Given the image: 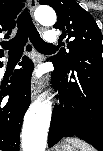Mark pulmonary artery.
<instances>
[{
  "mask_svg": "<svg viewBox=\"0 0 103 151\" xmlns=\"http://www.w3.org/2000/svg\"><path fill=\"white\" fill-rule=\"evenodd\" d=\"M45 40L48 44H52L57 40V34L55 31H48L45 33Z\"/></svg>",
  "mask_w": 103,
  "mask_h": 151,
  "instance_id": "pulmonary-artery-1",
  "label": "pulmonary artery"
}]
</instances>
